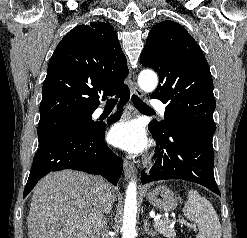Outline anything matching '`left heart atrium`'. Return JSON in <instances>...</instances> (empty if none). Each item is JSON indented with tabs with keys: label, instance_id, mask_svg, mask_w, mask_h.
Here are the masks:
<instances>
[{
	"label": "left heart atrium",
	"instance_id": "39dd6f15",
	"mask_svg": "<svg viewBox=\"0 0 247 238\" xmlns=\"http://www.w3.org/2000/svg\"><path fill=\"white\" fill-rule=\"evenodd\" d=\"M109 142L129 152H141L146 148V140L142 128L135 121H123L112 126Z\"/></svg>",
	"mask_w": 247,
	"mask_h": 238
}]
</instances>
